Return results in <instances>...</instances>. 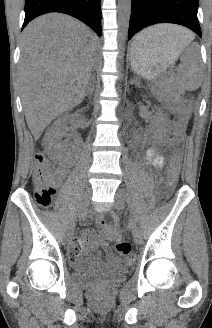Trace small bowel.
Masks as SVG:
<instances>
[{"mask_svg":"<svg viewBox=\"0 0 212 328\" xmlns=\"http://www.w3.org/2000/svg\"><path fill=\"white\" fill-rule=\"evenodd\" d=\"M148 159L153 160L157 167L164 164L163 158L155 150H150ZM67 171L63 168H56L52 174V181L56 184L60 183L66 176ZM98 224L104 235L108 239H115V235L119 233L118 223L109 224L105 219L99 218ZM101 246L108 258V262H104L98 254L97 247ZM69 252L73 260H77L84 254L91 256L94 268L99 272L122 271L126 269V265L119 260L110 250L108 244L99 238L94 229H84L78 237H76L69 246Z\"/></svg>","mask_w":212,"mask_h":328,"instance_id":"small-bowel-1","label":"small bowel"}]
</instances>
